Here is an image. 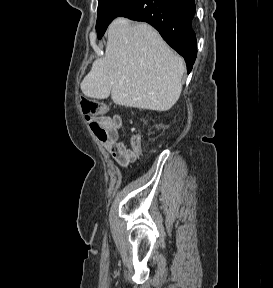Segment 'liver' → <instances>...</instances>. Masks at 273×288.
I'll return each instance as SVG.
<instances>
[{
    "label": "liver",
    "mask_w": 273,
    "mask_h": 288,
    "mask_svg": "<svg viewBox=\"0 0 273 288\" xmlns=\"http://www.w3.org/2000/svg\"><path fill=\"white\" fill-rule=\"evenodd\" d=\"M183 59L147 23L115 19L108 28L103 58L94 61L81 82L86 97L116 105L167 111L182 91Z\"/></svg>",
    "instance_id": "1"
}]
</instances>
